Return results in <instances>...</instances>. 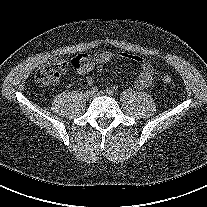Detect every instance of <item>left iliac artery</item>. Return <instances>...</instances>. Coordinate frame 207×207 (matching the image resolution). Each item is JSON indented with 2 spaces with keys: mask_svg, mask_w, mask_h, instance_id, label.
Listing matches in <instances>:
<instances>
[{
  "mask_svg": "<svg viewBox=\"0 0 207 207\" xmlns=\"http://www.w3.org/2000/svg\"><path fill=\"white\" fill-rule=\"evenodd\" d=\"M107 93H108L109 95H113V94H114V90H113V89L108 88V89H107Z\"/></svg>",
  "mask_w": 207,
  "mask_h": 207,
  "instance_id": "1",
  "label": "left iliac artery"
}]
</instances>
